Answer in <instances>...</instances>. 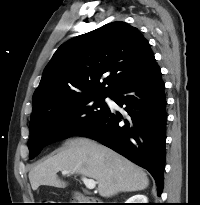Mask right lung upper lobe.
<instances>
[{"label":"right lung upper lobe","instance_id":"1","mask_svg":"<svg viewBox=\"0 0 200 205\" xmlns=\"http://www.w3.org/2000/svg\"><path fill=\"white\" fill-rule=\"evenodd\" d=\"M154 61L148 41L125 22L77 36L62 44L44 69L33 95L31 118L66 99L111 96Z\"/></svg>","mask_w":200,"mask_h":205}]
</instances>
